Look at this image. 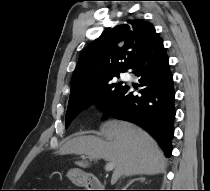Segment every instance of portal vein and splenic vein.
Returning a JSON list of instances; mask_svg holds the SVG:
<instances>
[{
  "label": "portal vein and splenic vein",
  "instance_id": "1",
  "mask_svg": "<svg viewBox=\"0 0 210 191\" xmlns=\"http://www.w3.org/2000/svg\"><path fill=\"white\" fill-rule=\"evenodd\" d=\"M115 167V163L114 162H108L106 165H105V170L107 172H110L114 169Z\"/></svg>",
  "mask_w": 210,
  "mask_h": 191
}]
</instances>
